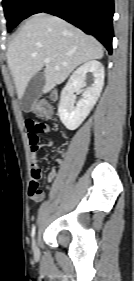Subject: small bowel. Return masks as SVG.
<instances>
[{
	"instance_id": "1",
	"label": "small bowel",
	"mask_w": 134,
	"mask_h": 281,
	"mask_svg": "<svg viewBox=\"0 0 134 281\" xmlns=\"http://www.w3.org/2000/svg\"><path fill=\"white\" fill-rule=\"evenodd\" d=\"M25 126L28 131V137L30 142V151H31V160H32V166H31V182L37 181L39 183L42 170L41 165L38 161V150L40 148L39 145V136L45 133L49 132V127L47 124L40 120L31 119L28 118L25 120ZM46 146H52L53 143L51 141H48ZM57 176V169L56 167H52L50 170L47 180L49 182L53 181ZM44 197V192L41 190V195L39 197H32L31 198L35 201H40Z\"/></svg>"
}]
</instances>
